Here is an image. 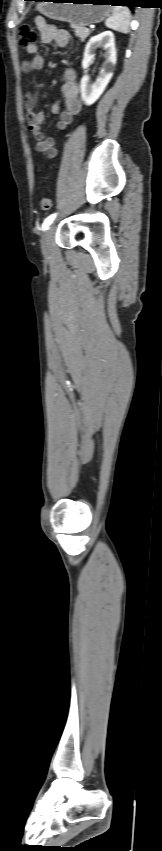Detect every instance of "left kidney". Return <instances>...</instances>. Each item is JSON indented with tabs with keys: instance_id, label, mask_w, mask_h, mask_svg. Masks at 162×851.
Returning <instances> with one entry per match:
<instances>
[{
	"instance_id": "1",
	"label": "left kidney",
	"mask_w": 162,
	"mask_h": 851,
	"mask_svg": "<svg viewBox=\"0 0 162 851\" xmlns=\"http://www.w3.org/2000/svg\"><path fill=\"white\" fill-rule=\"evenodd\" d=\"M97 48H103L105 51V60L100 69L99 76L95 83H91L88 76H83L80 82L81 98L88 106L97 101L113 76L117 57L115 38L111 31H105L90 38L84 50L82 61V68L84 70L88 69L90 63L94 59L95 50Z\"/></svg>"
}]
</instances>
